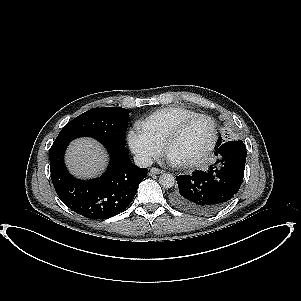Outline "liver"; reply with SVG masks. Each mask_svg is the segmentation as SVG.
I'll return each mask as SVG.
<instances>
[{"label": "liver", "instance_id": "1", "mask_svg": "<svg viewBox=\"0 0 301 301\" xmlns=\"http://www.w3.org/2000/svg\"><path fill=\"white\" fill-rule=\"evenodd\" d=\"M106 162L104 148L94 139H76L67 149V166L77 177L89 178L99 174L106 166Z\"/></svg>", "mask_w": 301, "mask_h": 301}]
</instances>
